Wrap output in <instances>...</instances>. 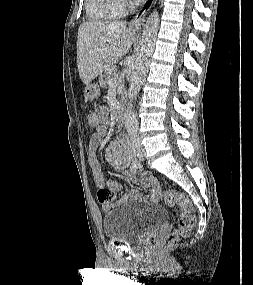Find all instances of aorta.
<instances>
[{
  "mask_svg": "<svg viewBox=\"0 0 253 285\" xmlns=\"http://www.w3.org/2000/svg\"><path fill=\"white\" fill-rule=\"evenodd\" d=\"M159 22V13L155 10L148 16L143 28L138 57L128 89L129 102L125 111V128L129 134H135L138 130L137 119L133 110V101L136 99L148 72L149 62L155 48Z\"/></svg>",
  "mask_w": 253,
  "mask_h": 285,
  "instance_id": "obj_1",
  "label": "aorta"
}]
</instances>
